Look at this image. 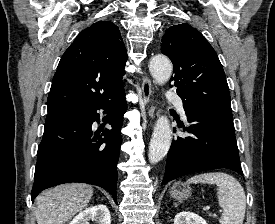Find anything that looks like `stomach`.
Here are the masks:
<instances>
[{
    "label": "stomach",
    "instance_id": "0dacf381",
    "mask_svg": "<svg viewBox=\"0 0 275 224\" xmlns=\"http://www.w3.org/2000/svg\"><path fill=\"white\" fill-rule=\"evenodd\" d=\"M170 195L176 200L187 199L191 195V188L185 183L177 182L171 187Z\"/></svg>",
    "mask_w": 275,
    "mask_h": 224
}]
</instances>
